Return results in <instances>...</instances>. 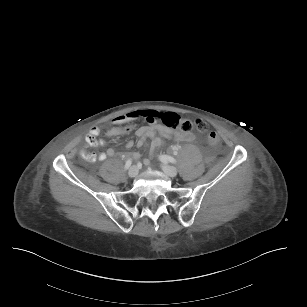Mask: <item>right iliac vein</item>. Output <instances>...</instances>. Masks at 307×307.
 Masks as SVG:
<instances>
[{
    "label": "right iliac vein",
    "instance_id": "obj_1",
    "mask_svg": "<svg viewBox=\"0 0 307 307\" xmlns=\"http://www.w3.org/2000/svg\"><path fill=\"white\" fill-rule=\"evenodd\" d=\"M139 173V170L136 166H132L129 171H128V175L131 178H135Z\"/></svg>",
    "mask_w": 307,
    "mask_h": 307
}]
</instances>
